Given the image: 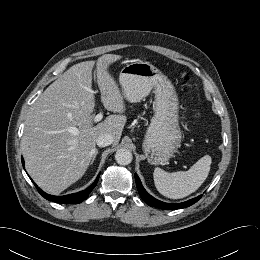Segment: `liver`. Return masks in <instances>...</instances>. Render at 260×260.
<instances>
[{
	"label": "liver",
	"mask_w": 260,
	"mask_h": 260,
	"mask_svg": "<svg viewBox=\"0 0 260 260\" xmlns=\"http://www.w3.org/2000/svg\"><path fill=\"white\" fill-rule=\"evenodd\" d=\"M122 56L105 54L96 61L101 101L109 115L94 126L95 92L92 70L95 61L70 67L31 106L21 149L25 167L45 192L57 195L86 172L99 135L108 133L118 144L127 121L123 96L108 72Z\"/></svg>",
	"instance_id": "obj_1"
}]
</instances>
